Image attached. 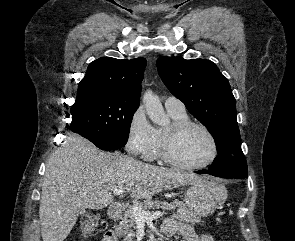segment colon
<instances>
[{
  "label": "colon",
  "instance_id": "5ec220e1",
  "mask_svg": "<svg viewBox=\"0 0 295 241\" xmlns=\"http://www.w3.org/2000/svg\"><path fill=\"white\" fill-rule=\"evenodd\" d=\"M98 218L95 216L87 217L82 223V231L85 236L91 234L96 228Z\"/></svg>",
  "mask_w": 295,
  "mask_h": 241
}]
</instances>
